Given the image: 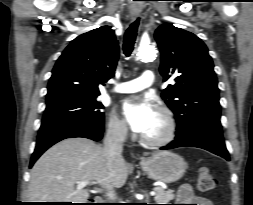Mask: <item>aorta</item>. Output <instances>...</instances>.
<instances>
[{
	"label": "aorta",
	"mask_w": 253,
	"mask_h": 205,
	"mask_svg": "<svg viewBox=\"0 0 253 205\" xmlns=\"http://www.w3.org/2000/svg\"><path fill=\"white\" fill-rule=\"evenodd\" d=\"M156 48L153 45H140L137 49V57L145 62H149L155 59L157 56Z\"/></svg>",
	"instance_id": "1"
}]
</instances>
